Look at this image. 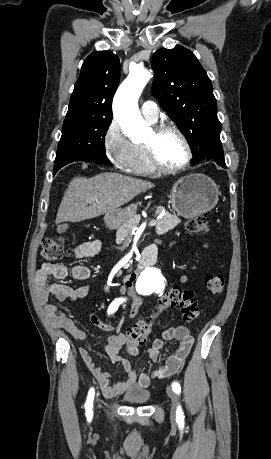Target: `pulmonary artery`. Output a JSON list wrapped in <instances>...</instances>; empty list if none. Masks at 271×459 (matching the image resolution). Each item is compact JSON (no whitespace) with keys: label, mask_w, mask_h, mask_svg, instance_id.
<instances>
[{"label":"pulmonary artery","mask_w":271,"mask_h":459,"mask_svg":"<svg viewBox=\"0 0 271 459\" xmlns=\"http://www.w3.org/2000/svg\"><path fill=\"white\" fill-rule=\"evenodd\" d=\"M140 110L145 119L149 120L152 123H155L157 121L160 110L155 102L150 100L145 101L142 104Z\"/></svg>","instance_id":"pulmonary-artery-1"}]
</instances>
